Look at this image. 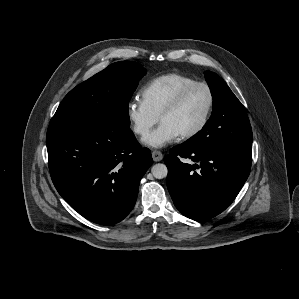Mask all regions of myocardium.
Returning <instances> with one entry per match:
<instances>
[{"instance_id":"obj_1","label":"myocardium","mask_w":299,"mask_h":299,"mask_svg":"<svg viewBox=\"0 0 299 299\" xmlns=\"http://www.w3.org/2000/svg\"><path fill=\"white\" fill-rule=\"evenodd\" d=\"M196 87H202L206 90L207 95H208V105L205 111V114L202 118V120L200 121V123L193 128L192 130L185 132L183 134L180 135V137L182 139H190L193 138L195 136H197L199 133H201L204 128L207 126L213 108H214V102H215V98H214V93L212 88L210 87L209 84H207L206 82H198L195 81L191 84H188L187 86L183 87L171 100L170 102L162 109L160 115H159V120L161 121V119L169 114L170 112L174 111L181 103L182 101L185 99V97L187 96V94L194 88Z\"/></svg>"}]
</instances>
